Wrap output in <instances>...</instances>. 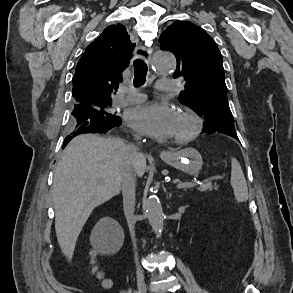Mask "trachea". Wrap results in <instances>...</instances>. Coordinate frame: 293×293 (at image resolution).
Masks as SVG:
<instances>
[{"mask_svg":"<svg viewBox=\"0 0 293 293\" xmlns=\"http://www.w3.org/2000/svg\"><path fill=\"white\" fill-rule=\"evenodd\" d=\"M147 65L142 59L134 61V86H142L146 81Z\"/></svg>","mask_w":293,"mask_h":293,"instance_id":"1","label":"trachea"}]
</instances>
